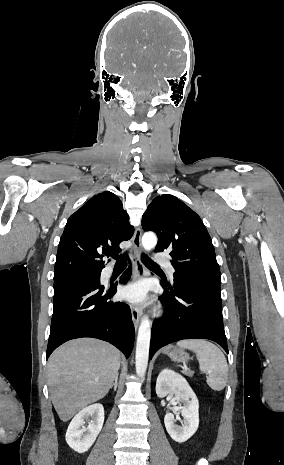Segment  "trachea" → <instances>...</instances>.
<instances>
[{"mask_svg": "<svg viewBox=\"0 0 284 465\" xmlns=\"http://www.w3.org/2000/svg\"><path fill=\"white\" fill-rule=\"evenodd\" d=\"M112 257L117 260V265H126L127 264V260H126L125 256L113 255ZM141 260L149 268L161 270L160 267L155 262H153V260H151L147 255L141 254Z\"/></svg>", "mask_w": 284, "mask_h": 465, "instance_id": "1", "label": "trachea"}]
</instances>
